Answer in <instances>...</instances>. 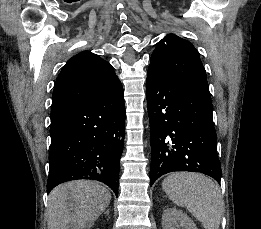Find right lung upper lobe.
<instances>
[{"mask_svg":"<svg viewBox=\"0 0 261 229\" xmlns=\"http://www.w3.org/2000/svg\"><path fill=\"white\" fill-rule=\"evenodd\" d=\"M116 78L113 67L98 55L83 51L73 56L56 80L51 121L97 94Z\"/></svg>","mask_w":261,"mask_h":229,"instance_id":"right-lung-upper-lobe-1","label":"right lung upper lobe"}]
</instances>
